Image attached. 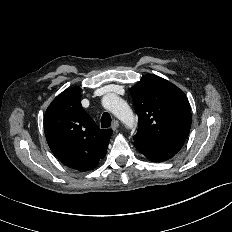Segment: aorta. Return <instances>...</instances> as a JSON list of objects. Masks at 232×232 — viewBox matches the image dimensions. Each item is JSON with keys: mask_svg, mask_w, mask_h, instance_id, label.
<instances>
[{"mask_svg": "<svg viewBox=\"0 0 232 232\" xmlns=\"http://www.w3.org/2000/svg\"><path fill=\"white\" fill-rule=\"evenodd\" d=\"M103 106L110 110L128 129L135 127V117L130 106L114 93L102 98Z\"/></svg>", "mask_w": 232, "mask_h": 232, "instance_id": "obj_1", "label": "aorta"}]
</instances>
